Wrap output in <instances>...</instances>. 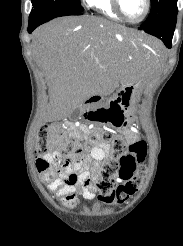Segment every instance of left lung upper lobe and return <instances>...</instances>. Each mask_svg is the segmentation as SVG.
Masks as SVG:
<instances>
[{
    "mask_svg": "<svg viewBox=\"0 0 183 246\" xmlns=\"http://www.w3.org/2000/svg\"><path fill=\"white\" fill-rule=\"evenodd\" d=\"M177 0H151V11L139 28L158 26L177 16Z\"/></svg>",
    "mask_w": 183,
    "mask_h": 246,
    "instance_id": "obj_1",
    "label": "left lung upper lobe"
}]
</instances>
